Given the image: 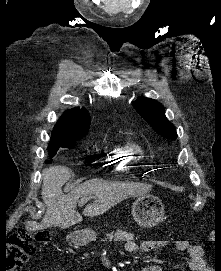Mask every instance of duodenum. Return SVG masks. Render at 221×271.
Here are the masks:
<instances>
[{"mask_svg":"<svg viewBox=\"0 0 221 271\" xmlns=\"http://www.w3.org/2000/svg\"><path fill=\"white\" fill-rule=\"evenodd\" d=\"M71 242L75 245H84L88 239L83 233H77L71 237Z\"/></svg>","mask_w":221,"mask_h":271,"instance_id":"obj_1","label":"duodenum"}]
</instances>
